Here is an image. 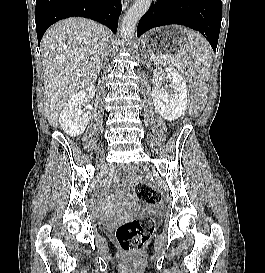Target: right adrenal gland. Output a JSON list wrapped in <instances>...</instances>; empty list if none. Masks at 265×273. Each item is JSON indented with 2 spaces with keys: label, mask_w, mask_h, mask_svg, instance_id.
<instances>
[{
  "label": "right adrenal gland",
  "mask_w": 265,
  "mask_h": 273,
  "mask_svg": "<svg viewBox=\"0 0 265 273\" xmlns=\"http://www.w3.org/2000/svg\"><path fill=\"white\" fill-rule=\"evenodd\" d=\"M105 56H108V53L106 52ZM102 67V66H101Z\"/></svg>",
  "instance_id": "2a0ac1e0"
}]
</instances>
